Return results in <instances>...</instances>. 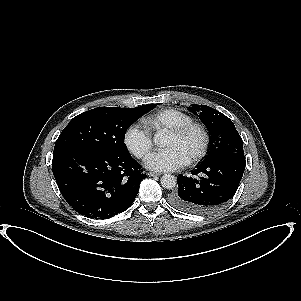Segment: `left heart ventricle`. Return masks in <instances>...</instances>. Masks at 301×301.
<instances>
[{
    "instance_id": "1",
    "label": "left heart ventricle",
    "mask_w": 301,
    "mask_h": 301,
    "mask_svg": "<svg viewBox=\"0 0 301 301\" xmlns=\"http://www.w3.org/2000/svg\"><path fill=\"white\" fill-rule=\"evenodd\" d=\"M201 136L197 130H191L182 137H165L162 146L171 149L187 159L200 145Z\"/></svg>"
}]
</instances>
